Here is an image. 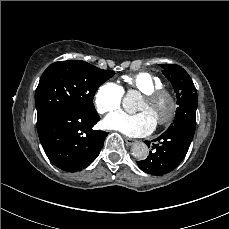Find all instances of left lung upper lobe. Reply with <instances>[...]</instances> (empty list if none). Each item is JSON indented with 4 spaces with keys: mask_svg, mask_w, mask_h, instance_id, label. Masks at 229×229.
I'll use <instances>...</instances> for the list:
<instances>
[{
    "mask_svg": "<svg viewBox=\"0 0 229 229\" xmlns=\"http://www.w3.org/2000/svg\"><path fill=\"white\" fill-rule=\"evenodd\" d=\"M161 67L164 69L162 71L163 74L172 83L177 93V104L179 105L176 110L174 122L169 128L184 126L191 133H194L198 103L195 86L188 73L181 66L165 64L161 65Z\"/></svg>",
    "mask_w": 229,
    "mask_h": 229,
    "instance_id": "left-lung-upper-lobe-1",
    "label": "left lung upper lobe"
}]
</instances>
